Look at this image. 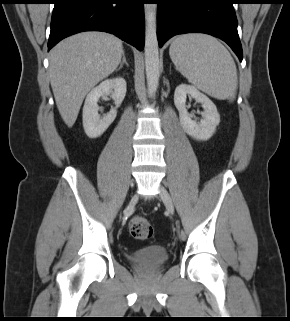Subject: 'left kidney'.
Segmentation results:
<instances>
[{"label": "left kidney", "instance_id": "1", "mask_svg": "<svg viewBox=\"0 0 290 321\" xmlns=\"http://www.w3.org/2000/svg\"><path fill=\"white\" fill-rule=\"evenodd\" d=\"M190 96L202 104L204 111L200 122L192 120V115L188 113L186 98ZM174 104L179 111L180 123L184 131L197 140H208L220 123V115L214 103L195 87L181 84L175 89Z\"/></svg>", "mask_w": 290, "mask_h": 321}]
</instances>
